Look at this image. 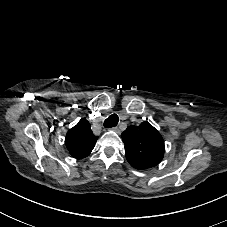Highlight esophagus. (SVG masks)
<instances>
[{"label":"esophagus","instance_id":"1","mask_svg":"<svg viewBox=\"0 0 227 227\" xmlns=\"http://www.w3.org/2000/svg\"><path fill=\"white\" fill-rule=\"evenodd\" d=\"M112 130L115 131V132H117V133H120V130H119L118 127H113Z\"/></svg>","mask_w":227,"mask_h":227}]
</instances>
